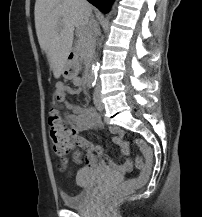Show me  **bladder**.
Masks as SVG:
<instances>
[{
    "label": "bladder",
    "mask_w": 202,
    "mask_h": 217,
    "mask_svg": "<svg viewBox=\"0 0 202 217\" xmlns=\"http://www.w3.org/2000/svg\"><path fill=\"white\" fill-rule=\"evenodd\" d=\"M101 172L88 167H83L76 174V184L80 188L76 195L61 196L62 202L66 207H83L92 196V188L98 182Z\"/></svg>",
    "instance_id": "1"
}]
</instances>
